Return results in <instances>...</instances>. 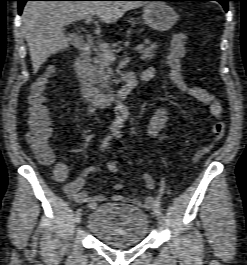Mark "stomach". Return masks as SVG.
<instances>
[{"label":"stomach","instance_id":"1","mask_svg":"<svg viewBox=\"0 0 247 265\" xmlns=\"http://www.w3.org/2000/svg\"><path fill=\"white\" fill-rule=\"evenodd\" d=\"M143 19L152 29L166 31L178 21V14L165 2H152L144 8Z\"/></svg>","mask_w":247,"mask_h":265}]
</instances>
